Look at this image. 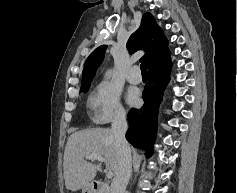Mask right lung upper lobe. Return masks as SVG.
Instances as JSON below:
<instances>
[{
    "instance_id": "obj_1",
    "label": "right lung upper lobe",
    "mask_w": 237,
    "mask_h": 193,
    "mask_svg": "<svg viewBox=\"0 0 237 193\" xmlns=\"http://www.w3.org/2000/svg\"><path fill=\"white\" fill-rule=\"evenodd\" d=\"M167 44L168 41L154 17L150 13H145L140 27L130 36L127 48L131 53L144 50L146 53L142 59L149 67L170 54ZM105 50L106 45H101L88 56L82 73L81 89L90 86L96 68L104 58Z\"/></svg>"
}]
</instances>
